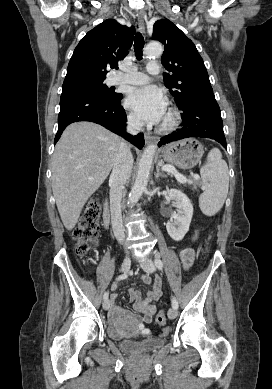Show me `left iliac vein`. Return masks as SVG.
I'll list each match as a JSON object with an SVG mask.
<instances>
[{
	"mask_svg": "<svg viewBox=\"0 0 272 389\" xmlns=\"http://www.w3.org/2000/svg\"><path fill=\"white\" fill-rule=\"evenodd\" d=\"M141 266H142L143 270L147 273H152L155 271V265L151 260L141 261ZM176 316H177V309H175V308L169 309L168 317L170 319H174V318H176Z\"/></svg>",
	"mask_w": 272,
	"mask_h": 389,
	"instance_id": "left-iliac-vein-1",
	"label": "left iliac vein"
}]
</instances>
